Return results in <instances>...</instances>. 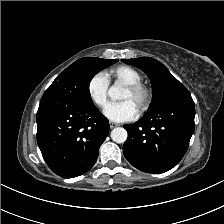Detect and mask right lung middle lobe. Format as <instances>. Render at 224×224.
I'll list each match as a JSON object with an SVG mask.
<instances>
[{
	"instance_id": "1",
	"label": "right lung middle lobe",
	"mask_w": 224,
	"mask_h": 224,
	"mask_svg": "<svg viewBox=\"0 0 224 224\" xmlns=\"http://www.w3.org/2000/svg\"><path fill=\"white\" fill-rule=\"evenodd\" d=\"M116 59L85 57L66 68L45 93H57L77 101L93 104L89 84L96 73L116 63Z\"/></svg>"
}]
</instances>
